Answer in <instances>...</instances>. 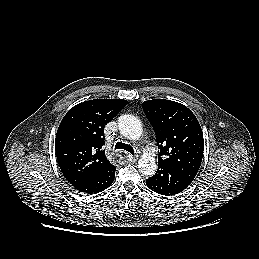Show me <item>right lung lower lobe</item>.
I'll list each match as a JSON object with an SVG mask.
<instances>
[{"mask_svg": "<svg viewBox=\"0 0 259 259\" xmlns=\"http://www.w3.org/2000/svg\"><path fill=\"white\" fill-rule=\"evenodd\" d=\"M115 170L116 167L112 166L111 168L100 173L99 175L77 185H74V187L80 192H85L89 194L101 192L113 183Z\"/></svg>", "mask_w": 259, "mask_h": 259, "instance_id": "1", "label": "right lung lower lobe"}]
</instances>
